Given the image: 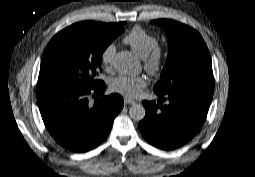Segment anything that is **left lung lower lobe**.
Segmentation results:
<instances>
[{
    "instance_id": "0a47b994",
    "label": "left lung lower lobe",
    "mask_w": 255,
    "mask_h": 177,
    "mask_svg": "<svg viewBox=\"0 0 255 177\" xmlns=\"http://www.w3.org/2000/svg\"><path fill=\"white\" fill-rule=\"evenodd\" d=\"M214 85L184 86L165 94L160 99L143 101L146 115L138 127L143 137L153 146L173 150L192 139L203 125ZM169 101L163 105L162 101Z\"/></svg>"
}]
</instances>
